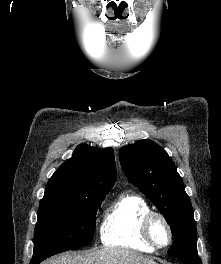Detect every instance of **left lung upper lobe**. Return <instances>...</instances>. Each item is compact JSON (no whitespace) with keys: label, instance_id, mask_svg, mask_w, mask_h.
<instances>
[{"label":"left lung upper lobe","instance_id":"obj_1","mask_svg":"<svg viewBox=\"0 0 221 264\" xmlns=\"http://www.w3.org/2000/svg\"><path fill=\"white\" fill-rule=\"evenodd\" d=\"M129 181L160 210L170 225L173 244L168 254L198 256L194 211L181 176L167 152L150 140H139L119 151Z\"/></svg>","mask_w":221,"mask_h":264}]
</instances>
